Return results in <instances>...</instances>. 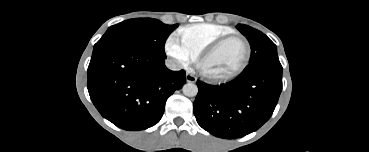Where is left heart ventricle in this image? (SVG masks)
<instances>
[{"label": "left heart ventricle", "instance_id": "1", "mask_svg": "<svg viewBox=\"0 0 369 152\" xmlns=\"http://www.w3.org/2000/svg\"><path fill=\"white\" fill-rule=\"evenodd\" d=\"M244 57V43L239 39H233L208 57L203 63V69L213 75H227L241 65Z\"/></svg>", "mask_w": 369, "mask_h": 152}]
</instances>
